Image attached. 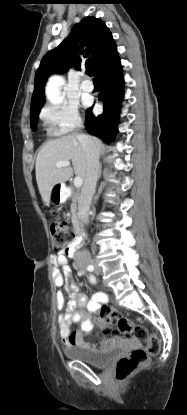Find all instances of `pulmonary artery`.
Returning a JSON list of instances; mask_svg holds the SVG:
<instances>
[{
    "label": "pulmonary artery",
    "instance_id": "pulmonary-artery-1",
    "mask_svg": "<svg viewBox=\"0 0 187 415\" xmlns=\"http://www.w3.org/2000/svg\"><path fill=\"white\" fill-rule=\"evenodd\" d=\"M80 87L85 92H91L93 90L92 83L86 80L81 83Z\"/></svg>",
    "mask_w": 187,
    "mask_h": 415
}]
</instances>
